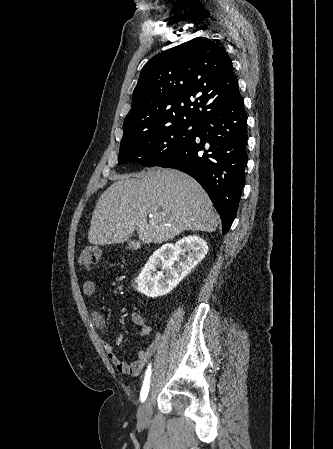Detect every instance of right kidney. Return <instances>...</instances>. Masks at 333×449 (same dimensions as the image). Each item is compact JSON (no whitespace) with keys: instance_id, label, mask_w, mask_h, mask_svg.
<instances>
[{"instance_id":"ca27d5eb","label":"right kidney","mask_w":333,"mask_h":449,"mask_svg":"<svg viewBox=\"0 0 333 449\" xmlns=\"http://www.w3.org/2000/svg\"><path fill=\"white\" fill-rule=\"evenodd\" d=\"M207 251L205 240L196 235L179 240L175 246L163 245L153 253L139 274L137 290L151 298L167 295L205 257ZM175 260L178 261L176 268L173 267ZM157 268L161 270L157 271Z\"/></svg>"}]
</instances>
